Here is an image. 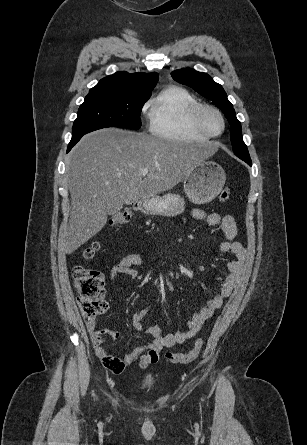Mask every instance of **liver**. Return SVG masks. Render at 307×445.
Returning <instances> with one entry per match:
<instances>
[{
    "label": "liver",
    "instance_id": "1",
    "mask_svg": "<svg viewBox=\"0 0 307 445\" xmlns=\"http://www.w3.org/2000/svg\"><path fill=\"white\" fill-rule=\"evenodd\" d=\"M191 142L154 138L146 132L100 128L74 146L67 182L71 194L68 225L60 247L66 255L95 237L125 204L158 196L181 182L205 156ZM140 168H148L142 174Z\"/></svg>",
    "mask_w": 307,
    "mask_h": 445
}]
</instances>
